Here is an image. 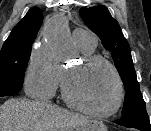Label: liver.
<instances>
[{"instance_id":"6515ba94","label":"liver","mask_w":151,"mask_h":131,"mask_svg":"<svg viewBox=\"0 0 151 131\" xmlns=\"http://www.w3.org/2000/svg\"><path fill=\"white\" fill-rule=\"evenodd\" d=\"M88 121L42 101L9 99L0 106V131H74Z\"/></svg>"}]
</instances>
